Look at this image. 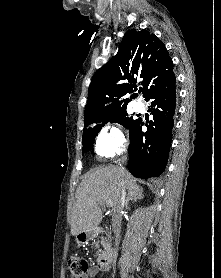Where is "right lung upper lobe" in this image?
<instances>
[{"label":"right lung upper lobe","instance_id":"1","mask_svg":"<svg viewBox=\"0 0 221 278\" xmlns=\"http://www.w3.org/2000/svg\"><path fill=\"white\" fill-rule=\"evenodd\" d=\"M173 72L165 45L149 31H127L117 54L92 77L85 107V123L123 110L136 83L147 92Z\"/></svg>","mask_w":221,"mask_h":278}]
</instances>
